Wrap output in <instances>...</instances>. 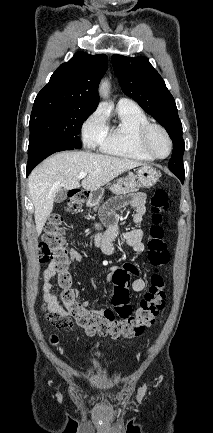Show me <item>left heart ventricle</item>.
I'll use <instances>...</instances> for the list:
<instances>
[{"label": "left heart ventricle", "instance_id": "left-heart-ventricle-1", "mask_svg": "<svg viewBox=\"0 0 213 433\" xmlns=\"http://www.w3.org/2000/svg\"><path fill=\"white\" fill-rule=\"evenodd\" d=\"M151 148L160 156H165L169 151V143L164 134L159 130H153L149 137Z\"/></svg>", "mask_w": 213, "mask_h": 433}]
</instances>
